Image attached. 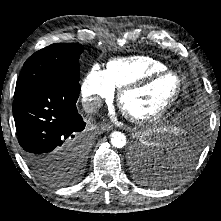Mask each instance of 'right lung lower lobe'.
I'll use <instances>...</instances> for the list:
<instances>
[{"label": "right lung lower lobe", "mask_w": 221, "mask_h": 221, "mask_svg": "<svg viewBox=\"0 0 221 221\" xmlns=\"http://www.w3.org/2000/svg\"><path fill=\"white\" fill-rule=\"evenodd\" d=\"M80 85L46 83L14 97L13 116L22 155L35 173L73 164L86 148L76 108Z\"/></svg>", "instance_id": "obj_1"}]
</instances>
